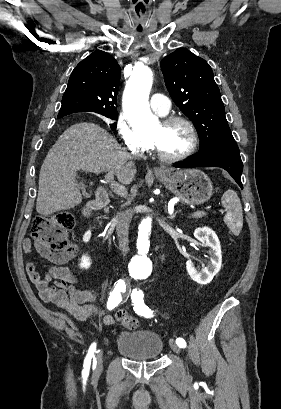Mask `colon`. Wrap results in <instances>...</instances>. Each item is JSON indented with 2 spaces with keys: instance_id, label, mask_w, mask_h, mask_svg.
Returning a JSON list of instances; mask_svg holds the SVG:
<instances>
[{
  "instance_id": "obj_1",
  "label": "colon",
  "mask_w": 281,
  "mask_h": 409,
  "mask_svg": "<svg viewBox=\"0 0 281 409\" xmlns=\"http://www.w3.org/2000/svg\"><path fill=\"white\" fill-rule=\"evenodd\" d=\"M74 223L73 215L67 211L38 215L32 224L31 240L34 245L47 250L54 260L62 263L70 257L66 233L73 228ZM116 319L128 329L138 326V320L134 316L123 314L121 310L117 312Z\"/></svg>"
}]
</instances>
